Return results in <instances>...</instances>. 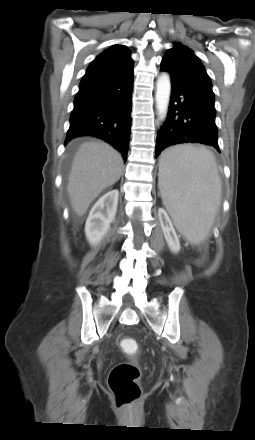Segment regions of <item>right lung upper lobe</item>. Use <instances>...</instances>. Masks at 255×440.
<instances>
[{
  "instance_id": "right-lung-upper-lobe-1",
  "label": "right lung upper lobe",
  "mask_w": 255,
  "mask_h": 440,
  "mask_svg": "<svg viewBox=\"0 0 255 440\" xmlns=\"http://www.w3.org/2000/svg\"><path fill=\"white\" fill-rule=\"evenodd\" d=\"M133 66L129 50L122 45H113L98 55L86 70L80 86L107 79Z\"/></svg>"
}]
</instances>
